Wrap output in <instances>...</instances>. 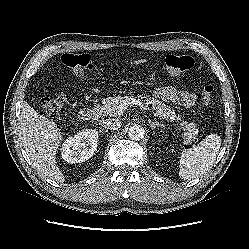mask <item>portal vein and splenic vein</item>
<instances>
[{"mask_svg": "<svg viewBox=\"0 0 249 249\" xmlns=\"http://www.w3.org/2000/svg\"><path fill=\"white\" fill-rule=\"evenodd\" d=\"M128 105H138L140 107H143L144 109H147L144 107V102L135 98H127L120 102V104L118 105L119 112L122 113L124 110H126Z\"/></svg>", "mask_w": 249, "mask_h": 249, "instance_id": "portal-vein-and-splenic-vein-1", "label": "portal vein and splenic vein"}]
</instances>
